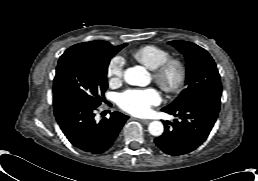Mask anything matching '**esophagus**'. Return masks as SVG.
<instances>
[{
  "instance_id": "obj_1",
  "label": "esophagus",
  "mask_w": 258,
  "mask_h": 181,
  "mask_svg": "<svg viewBox=\"0 0 258 181\" xmlns=\"http://www.w3.org/2000/svg\"><path fill=\"white\" fill-rule=\"evenodd\" d=\"M143 124H149L151 122V120L149 119H142L140 120Z\"/></svg>"
}]
</instances>
